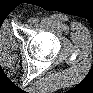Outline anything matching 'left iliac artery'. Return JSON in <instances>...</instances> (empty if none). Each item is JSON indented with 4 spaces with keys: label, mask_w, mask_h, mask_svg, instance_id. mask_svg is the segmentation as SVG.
Listing matches in <instances>:
<instances>
[{
    "label": "left iliac artery",
    "mask_w": 93,
    "mask_h": 93,
    "mask_svg": "<svg viewBox=\"0 0 93 93\" xmlns=\"http://www.w3.org/2000/svg\"><path fill=\"white\" fill-rule=\"evenodd\" d=\"M39 19L38 18H34V23H38Z\"/></svg>",
    "instance_id": "obj_1"
}]
</instances>
